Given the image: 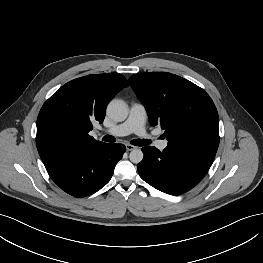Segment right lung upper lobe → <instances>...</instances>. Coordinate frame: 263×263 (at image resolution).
Wrapping results in <instances>:
<instances>
[{"instance_id":"obj_1","label":"right lung upper lobe","mask_w":263,"mask_h":263,"mask_svg":"<svg viewBox=\"0 0 263 263\" xmlns=\"http://www.w3.org/2000/svg\"><path fill=\"white\" fill-rule=\"evenodd\" d=\"M128 81L123 75H87L63 85L42 106L37 118L36 145L49 173L82 150L101 144L88 133L102 123L108 102Z\"/></svg>"}]
</instances>
